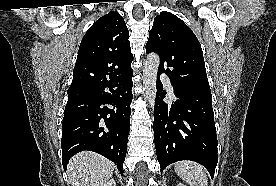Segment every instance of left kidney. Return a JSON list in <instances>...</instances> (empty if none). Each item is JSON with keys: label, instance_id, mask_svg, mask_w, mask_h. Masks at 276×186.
<instances>
[{"label": "left kidney", "instance_id": "1", "mask_svg": "<svg viewBox=\"0 0 276 186\" xmlns=\"http://www.w3.org/2000/svg\"><path fill=\"white\" fill-rule=\"evenodd\" d=\"M177 186H185L184 184H182V183H179Z\"/></svg>", "mask_w": 276, "mask_h": 186}]
</instances>
